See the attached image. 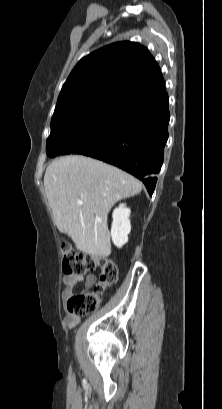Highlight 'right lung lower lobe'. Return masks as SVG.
<instances>
[{"mask_svg": "<svg viewBox=\"0 0 222 409\" xmlns=\"http://www.w3.org/2000/svg\"><path fill=\"white\" fill-rule=\"evenodd\" d=\"M169 119L167 93L120 105L102 144L87 156L139 178L152 196L163 163Z\"/></svg>", "mask_w": 222, "mask_h": 409, "instance_id": "98d812e1", "label": "right lung lower lobe"}]
</instances>
